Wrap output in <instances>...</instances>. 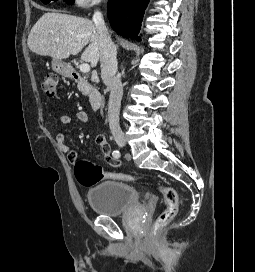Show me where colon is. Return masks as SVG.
I'll return each mask as SVG.
<instances>
[{
    "mask_svg": "<svg viewBox=\"0 0 255 272\" xmlns=\"http://www.w3.org/2000/svg\"><path fill=\"white\" fill-rule=\"evenodd\" d=\"M58 77L55 73H47L41 81V88L48 97L57 96ZM75 176L78 182L84 186H92L103 178H112L130 182H141L139 178L120 172L105 171L99 165L88 160H80L75 164ZM156 187L164 197V208L154 222V228H162L167 225L177 214L179 199L176 190L170 186L158 184Z\"/></svg>",
    "mask_w": 255,
    "mask_h": 272,
    "instance_id": "5ec220e1",
    "label": "colon"
}]
</instances>
